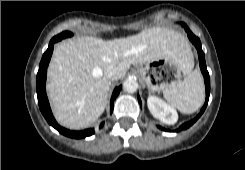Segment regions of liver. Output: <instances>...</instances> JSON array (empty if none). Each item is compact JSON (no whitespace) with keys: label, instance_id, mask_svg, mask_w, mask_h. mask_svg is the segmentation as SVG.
Listing matches in <instances>:
<instances>
[{"label":"liver","instance_id":"liver-1","mask_svg":"<svg viewBox=\"0 0 245 170\" xmlns=\"http://www.w3.org/2000/svg\"><path fill=\"white\" fill-rule=\"evenodd\" d=\"M184 38L167 28H150L114 40L77 37L56 45L48 67V96L56 120L64 127L89 126L104 112L110 80L104 75L115 66L120 78L132 64L171 57L184 74L193 68Z\"/></svg>","mask_w":245,"mask_h":170}]
</instances>
